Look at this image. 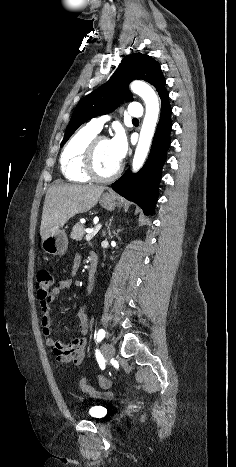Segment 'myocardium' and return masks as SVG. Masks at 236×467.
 Returning <instances> with one entry per match:
<instances>
[{
    "mask_svg": "<svg viewBox=\"0 0 236 467\" xmlns=\"http://www.w3.org/2000/svg\"><path fill=\"white\" fill-rule=\"evenodd\" d=\"M102 140H108L107 137L96 135L87 145L84 151L83 168L85 173L93 180L99 182H109L115 179L122 171V165L119 163L116 169L109 175H101L95 166L96 151Z\"/></svg>",
    "mask_w": 236,
    "mask_h": 467,
    "instance_id": "f54148a6",
    "label": "myocardium"
}]
</instances>
